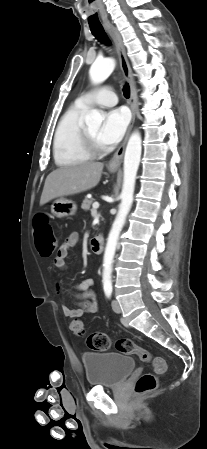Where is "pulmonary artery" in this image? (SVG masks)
Returning <instances> with one entry per match:
<instances>
[{
	"label": "pulmonary artery",
	"mask_w": 207,
	"mask_h": 449,
	"mask_svg": "<svg viewBox=\"0 0 207 449\" xmlns=\"http://www.w3.org/2000/svg\"><path fill=\"white\" fill-rule=\"evenodd\" d=\"M117 102V96L113 89L109 86L84 93L76 100V103L81 106L99 105L103 107H111L116 105Z\"/></svg>",
	"instance_id": "e3ab8cb5"
}]
</instances>
